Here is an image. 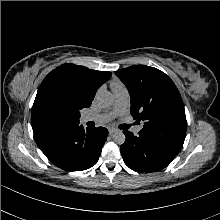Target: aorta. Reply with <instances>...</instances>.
<instances>
[{
	"mask_svg": "<svg viewBox=\"0 0 220 220\" xmlns=\"http://www.w3.org/2000/svg\"><path fill=\"white\" fill-rule=\"evenodd\" d=\"M98 105L102 108H108L113 104V96L109 92H100L96 96ZM125 134L122 131H117L113 134L114 143L121 145L125 142Z\"/></svg>",
	"mask_w": 220,
	"mask_h": 220,
	"instance_id": "obj_1",
	"label": "aorta"
}]
</instances>
